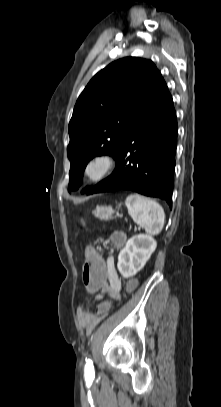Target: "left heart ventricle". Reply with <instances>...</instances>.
<instances>
[{
    "label": "left heart ventricle",
    "mask_w": 221,
    "mask_h": 407,
    "mask_svg": "<svg viewBox=\"0 0 221 407\" xmlns=\"http://www.w3.org/2000/svg\"><path fill=\"white\" fill-rule=\"evenodd\" d=\"M96 171V169H93V172H95Z\"/></svg>",
    "instance_id": "b2bd125f"
}]
</instances>
